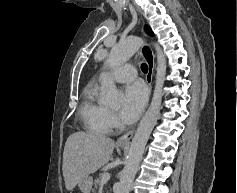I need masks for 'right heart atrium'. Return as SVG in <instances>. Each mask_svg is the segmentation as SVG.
<instances>
[{"instance_id": "1", "label": "right heart atrium", "mask_w": 237, "mask_h": 193, "mask_svg": "<svg viewBox=\"0 0 237 193\" xmlns=\"http://www.w3.org/2000/svg\"><path fill=\"white\" fill-rule=\"evenodd\" d=\"M110 123H111V126H115L117 124V117L114 113H110Z\"/></svg>"}]
</instances>
